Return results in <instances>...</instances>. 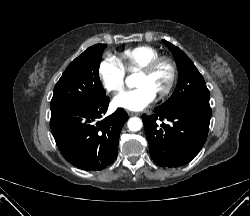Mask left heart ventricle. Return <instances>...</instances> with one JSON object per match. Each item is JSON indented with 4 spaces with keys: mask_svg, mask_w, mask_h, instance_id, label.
I'll use <instances>...</instances> for the list:
<instances>
[{
    "mask_svg": "<svg viewBox=\"0 0 250 216\" xmlns=\"http://www.w3.org/2000/svg\"><path fill=\"white\" fill-rule=\"evenodd\" d=\"M167 77V70L164 67L158 68L153 74L143 75L137 77L139 85L149 87L154 93H157L164 85Z\"/></svg>",
    "mask_w": 250,
    "mask_h": 216,
    "instance_id": "b2bd125f",
    "label": "left heart ventricle"
}]
</instances>
